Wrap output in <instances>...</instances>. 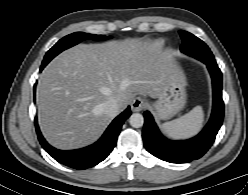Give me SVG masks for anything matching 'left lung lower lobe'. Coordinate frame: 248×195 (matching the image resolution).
Returning a JSON list of instances; mask_svg holds the SVG:
<instances>
[{"label": "left lung lower lobe", "mask_w": 248, "mask_h": 195, "mask_svg": "<svg viewBox=\"0 0 248 195\" xmlns=\"http://www.w3.org/2000/svg\"><path fill=\"white\" fill-rule=\"evenodd\" d=\"M202 62L207 65L212 78L213 108L209 122L195 137L173 141L165 138L159 131L152 115L144 112L145 123L142 132L144 146L148 152L157 158L170 163H187L202 157L213 144L222 125L224 117V102L222 99V73L215 59L202 53Z\"/></svg>", "instance_id": "left-lung-lower-lobe-1"}]
</instances>
